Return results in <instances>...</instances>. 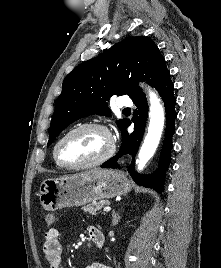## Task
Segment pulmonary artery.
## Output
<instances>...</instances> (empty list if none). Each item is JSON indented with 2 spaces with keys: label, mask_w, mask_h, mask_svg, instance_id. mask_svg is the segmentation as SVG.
<instances>
[{
  "label": "pulmonary artery",
  "mask_w": 221,
  "mask_h": 268,
  "mask_svg": "<svg viewBox=\"0 0 221 268\" xmlns=\"http://www.w3.org/2000/svg\"><path fill=\"white\" fill-rule=\"evenodd\" d=\"M120 107H131L132 101L128 97H121L119 100Z\"/></svg>",
  "instance_id": "1"
}]
</instances>
